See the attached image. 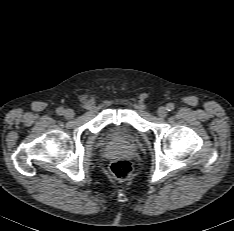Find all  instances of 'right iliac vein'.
<instances>
[{"mask_svg": "<svg viewBox=\"0 0 234 231\" xmlns=\"http://www.w3.org/2000/svg\"><path fill=\"white\" fill-rule=\"evenodd\" d=\"M74 115L75 114H74L73 110H71V109H68L65 111V117L68 119H72L74 117Z\"/></svg>", "mask_w": 234, "mask_h": 231, "instance_id": "1", "label": "right iliac vein"}]
</instances>
